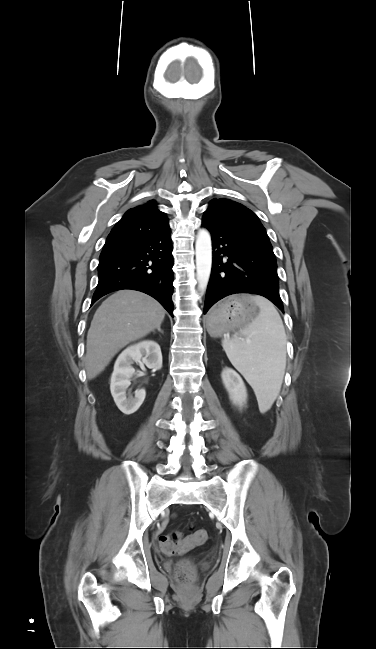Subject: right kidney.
<instances>
[{
  "mask_svg": "<svg viewBox=\"0 0 376 649\" xmlns=\"http://www.w3.org/2000/svg\"><path fill=\"white\" fill-rule=\"evenodd\" d=\"M133 362H142L150 369H161L160 346L153 340L140 341L127 347L115 362L110 390L117 407L127 415L136 412L146 396L145 389L136 390L134 397L126 395V390L131 384L130 378L135 373V369L131 366Z\"/></svg>",
  "mask_w": 376,
  "mask_h": 649,
  "instance_id": "right-kidney-1",
  "label": "right kidney"
}]
</instances>
